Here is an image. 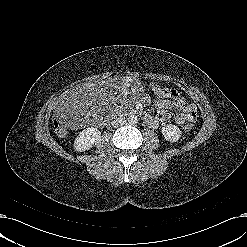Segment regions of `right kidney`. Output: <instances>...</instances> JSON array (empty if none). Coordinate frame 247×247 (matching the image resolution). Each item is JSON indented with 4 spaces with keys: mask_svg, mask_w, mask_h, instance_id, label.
Here are the masks:
<instances>
[{
    "mask_svg": "<svg viewBox=\"0 0 247 247\" xmlns=\"http://www.w3.org/2000/svg\"><path fill=\"white\" fill-rule=\"evenodd\" d=\"M101 139V132L96 128H86L79 133L74 141V150L83 152L91 149Z\"/></svg>",
    "mask_w": 247,
    "mask_h": 247,
    "instance_id": "obj_1",
    "label": "right kidney"
}]
</instances>
